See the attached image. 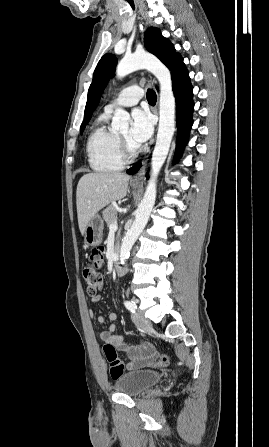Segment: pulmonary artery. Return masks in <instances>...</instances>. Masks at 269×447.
<instances>
[{"mask_svg":"<svg viewBox=\"0 0 269 447\" xmlns=\"http://www.w3.org/2000/svg\"><path fill=\"white\" fill-rule=\"evenodd\" d=\"M144 94V90L139 86L127 87L119 93L118 97L111 104L106 105L105 110L111 113L118 107L134 106L141 100Z\"/></svg>","mask_w":269,"mask_h":447,"instance_id":"pulmonary-artery-1","label":"pulmonary artery"}]
</instances>
